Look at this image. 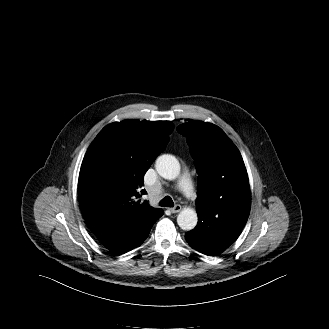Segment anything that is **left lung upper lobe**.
<instances>
[{
	"label": "left lung upper lobe",
	"instance_id": "obj_1",
	"mask_svg": "<svg viewBox=\"0 0 329 329\" xmlns=\"http://www.w3.org/2000/svg\"><path fill=\"white\" fill-rule=\"evenodd\" d=\"M187 137L198 171V224L195 231L208 237L227 224L243 227L251 205L249 179L242 156L222 129L191 121L177 127Z\"/></svg>",
	"mask_w": 329,
	"mask_h": 329
}]
</instances>
